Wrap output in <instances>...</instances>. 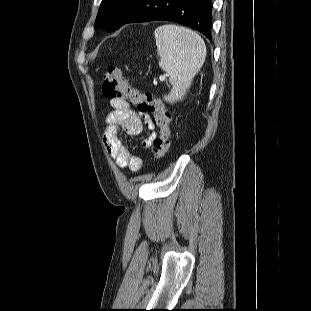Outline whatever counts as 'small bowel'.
I'll return each mask as SVG.
<instances>
[{
    "label": "small bowel",
    "instance_id": "small-bowel-1",
    "mask_svg": "<svg viewBox=\"0 0 311 311\" xmlns=\"http://www.w3.org/2000/svg\"><path fill=\"white\" fill-rule=\"evenodd\" d=\"M110 105L112 111L106 117L104 130L107 150L119 167L137 172L142 167V159L127 150L120 136L122 133L139 135L145 127L149 135L143 140V146L149 148L157 135L156 124L151 116L138 112L129 102L113 99Z\"/></svg>",
    "mask_w": 311,
    "mask_h": 311
}]
</instances>
